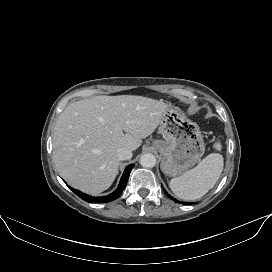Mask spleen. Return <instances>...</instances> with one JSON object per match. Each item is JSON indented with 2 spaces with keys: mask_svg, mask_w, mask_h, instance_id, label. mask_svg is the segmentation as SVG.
I'll return each mask as SVG.
<instances>
[{
  "mask_svg": "<svg viewBox=\"0 0 272 272\" xmlns=\"http://www.w3.org/2000/svg\"><path fill=\"white\" fill-rule=\"evenodd\" d=\"M214 148L221 150V143L216 142ZM223 166L224 160L221 154H209L195 168L171 179L169 187L182 200L199 199L214 187L222 173Z\"/></svg>",
  "mask_w": 272,
  "mask_h": 272,
  "instance_id": "spleen-1",
  "label": "spleen"
}]
</instances>
